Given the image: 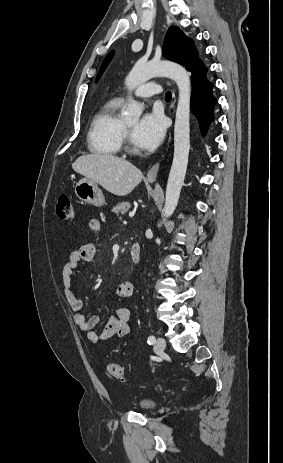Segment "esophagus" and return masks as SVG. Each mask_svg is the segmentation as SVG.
I'll return each instance as SVG.
<instances>
[{
	"label": "esophagus",
	"mask_w": 283,
	"mask_h": 463,
	"mask_svg": "<svg viewBox=\"0 0 283 463\" xmlns=\"http://www.w3.org/2000/svg\"><path fill=\"white\" fill-rule=\"evenodd\" d=\"M159 165H160V161H157L151 168L150 170L148 171L147 175H146V179L148 181H155L156 180V177H157V173H158V170H159Z\"/></svg>",
	"instance_id": "1"
}]
</instances>
